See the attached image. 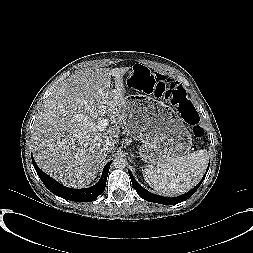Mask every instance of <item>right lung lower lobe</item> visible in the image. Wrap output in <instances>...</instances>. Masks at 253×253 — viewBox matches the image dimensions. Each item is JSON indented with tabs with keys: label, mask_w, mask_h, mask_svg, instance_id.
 Segmentation results:
<instances>
[{
	"label": "right lung lower lobe",
	"mask_w": 253,
	"mask_h": 253,
	"mask_svg": "<svg viewBox=\"0 0 253 253\" xmlns=\"http://www.w3.org/2000/svg\"><path fill=\"white\" fill-rule=\"evenodd\" d=\"M33 166L44 185L55 195L71 201L90 202L95 200L105 189L106 180L111 162L104 167L99 182L87 189H72L61 185L53 178L45 174L35 163L32 157Z\"/></svg>",
	"instance_id": "98d812e1"
}]
</instances>
